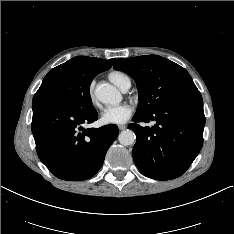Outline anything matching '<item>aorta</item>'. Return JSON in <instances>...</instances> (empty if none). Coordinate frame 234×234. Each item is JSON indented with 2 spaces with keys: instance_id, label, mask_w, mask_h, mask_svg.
I'll return each mask as SVG.
<instances>
[{
  "instance_id": "762f6f07",
  "label": "aorta",
  "mask_w": 234,
  "mask_h": 234,
  "mask_svg": "<svg viewBox=\"0 0 234 234\" xmlns=\"http://www.w3.org/2000/svg\"><path fill=\"white\" fill-rule=\"evenodd\" d=\"M95 95L99 101L105 104H114L120 101V93L108 83L98 84L95 89ZM118 140L123 146L132 145L135 141V134L132 130H124L119 134Z\"/></svg>"
}]
</instances>
